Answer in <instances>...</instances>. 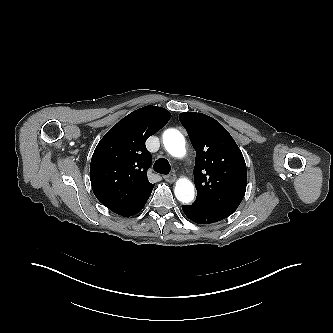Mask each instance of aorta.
Segmentation results:
<instances>
[{"label": "aorta", "mask_w": 333, "mask_h": 333, "mask_svg": "<svg viewBox=\"0 0 333 333\" xmlns=\"http://www.w3.org/2000/svg\"><path fill=\"white\" fill-rule=\"evenodd\" d=\"M162 142L166 151L173 157L182 158L185 153V138L180 131L170 128L164 131ZM174 193L182 203H189L194 199V185L187 178H180L175 185Z\"/></svg>", "instance_id": "obj_1"}]
</instances>
